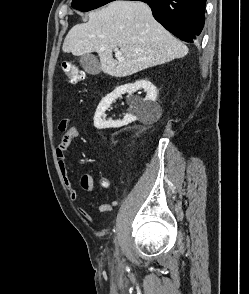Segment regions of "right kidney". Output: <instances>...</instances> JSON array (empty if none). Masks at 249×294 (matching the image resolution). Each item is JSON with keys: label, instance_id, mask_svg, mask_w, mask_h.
<instances>
[{"label": "right kidney", "instance_id": "1", "mask_svg": "<svg viewBox=\"0 0 249 294\" xmlns=\"http://www.w3.org/2000/svg\"><path fill=\"white\" fill-rule=\"evenodd\" d=\"M139 89H144L147 93L145 98L134 97L130 100V110L124 116L123 120H106L105 111L110 107L113 101L125 93H134ZM157 89L148 80L141 79L135 83H128L117 87L113 92L105 96L98 105L94 115V126L97 129L119 128L129 123L140 120L141 122H154L161 115V108L156 103Z\"/></svg>", "mask_w": 249, "mask_h": 294}]
</instances>
